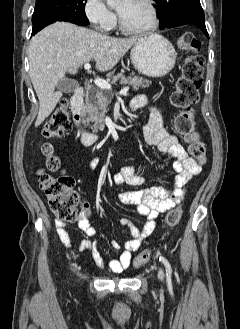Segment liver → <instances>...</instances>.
Wrapping results in <instances>:
<instances>
[{
  "mask_svg": "<svg viewBox=\"0 0 240 329\" xmlns=\"http://www.w3.org/2000/svg\"><path fill=\"white\" fill-rule=\"evenodd\" d=\"M139 38H113L67 22H56L37 33L28 51L30 78L39 100L35 126L59 102L62 92H55V87L67 72L76 74L90 60H95L98 71H109Z\"/></svg>",
  "mask_w": 240,
  "mask_h": 329,
  "instance_id": "obj_1",
  "label": "liver"
}]
</instances>
